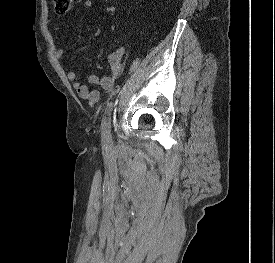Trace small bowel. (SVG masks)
Returning <instances> with one entry per match:
<instances>
[{
	"instance_id": "obj_1",
	"label": "small bowel",
	"mask_w": 275,
	"mask_h": 263,
	"mask_svg": "<svg viewBox=\"0 0 275 263\" xmlns=\"http://www.w3.org/2000/svg\"><path fill=\"white\" fill-rule=\"evenodd\" d=\"M82 8L85 10H90L93 8L92 0H82ZM91 16L88 17L85 22L88 23L91 20ZM65 54V49L61 48L56 52V58L58 60L62 59ZM124 54V48L120 47L109 55V64L111 66L110 74L99 78L94 74L87 76V82L91 84L98 85L101 89L112 94L116 91V85L119 79L124 74V64L122 61ZM67 78L72 82L74 89L76 90L78 96L87 101L98 102L100 100V93L96 89H90L85 83L77 80V74L74 70L67 72Z\"/></svg>"
}]
</instances>
